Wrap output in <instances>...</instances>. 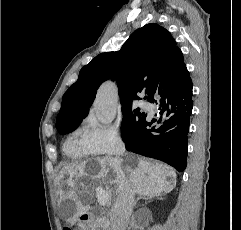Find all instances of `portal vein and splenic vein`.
I'll list each match as a JSON object with an SVG mask.
<instances>
[{
    "mask_svg": "<svg viewBox=\"0 0 241 230\" xmlns=\"http://www.w3.org/2000/svg\"><path fill=\"white\" fill-rule=\"evenodd\" d=\"M97 198H98V203L101 206L106 205L109 201L108 194L105 191H103L102 189L97 190Z\"/></svg>",
    "mask_w": 241,
    "mask_h": 230,
    "instance_id": "1",
    "label": "portal vein and splenic vein"
}]
</instances>
